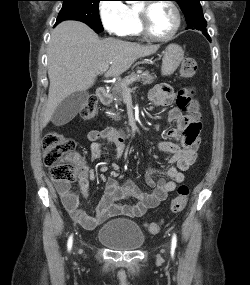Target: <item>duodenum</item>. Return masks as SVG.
Returning a JSON list of instances; mask_svg holds the SVG:
<instances>
[{
  "label": "duodenum",
  "instance_id": "duodenum-1",
  "mask_svg": "<svg viewBox=\"0 0 250 285\" xmlns=\"http://www.w3.org/2000/svg\"><path fill=\"white\" fill-rule=\"evenodd\" d=\"M96 94L102 103H108L109 102L110 94L106 88L99 87L96 91Z\"/></svg>",
  "mask_w": 250,
  "mask_h": 285
}]
</instances>
